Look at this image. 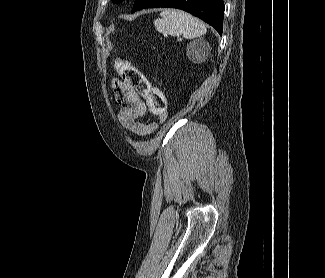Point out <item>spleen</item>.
Here are the masks:
<instances>
[{
    "instance_id": "spleen-1",
    "label": "spleen",
    "mask_w": 325,
    "mask_h": 278,
    "mask_svg": "<svg viewBox=\"0 0 325 278\" xmlns=\"http://www.w3.org/2000/svg\"><path fill=\"white\" fill-rule=\"evenodd\" d=\"M154 26L160 33L183 36L187 39L201 37L206 33V26L192 15L178 10H164L154 20Z\"/></svg>"
}]
</instances>
